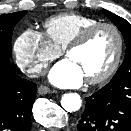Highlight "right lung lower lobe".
<instances>
[{
	"instance_id": "right-lung-lower-lobe-1",
	"label": "right lung lower lobe",
	"mask_w": 131,
	"mask_h": 131,
	"mask_svg": "<svg viewBox=\"0 0 131 131\" xmlns=\"http://www.w3.org/2000/svg\"><path fill=\"white\" fill-rule=\"evenodd\" d=\"M36 84L16 76L0 56V131H30Z\"/></svg>"
}]
</instances>
